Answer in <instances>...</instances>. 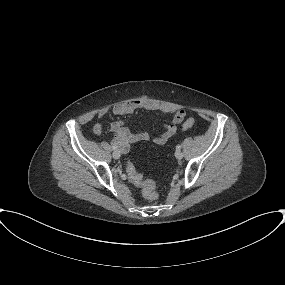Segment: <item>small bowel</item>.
Returning <instances> with one entry per match:
<instances>
[{"label": "small bowel", "instance_id": "obj_1", "mask_svg": "<svg viewBox=\"0 0 285 285\" xmlns=\"http://www.w3.org/2000/svg\"><path fill=\"white\" fill-rule=\"evenodd\" d=\"M158 110V107L146 100L133 99L127 102L119 103L115 105L111 112L115 116H122L131 114L137 110ZM181 113L182 117L177 119V115ZM106 111H101L98 116L103 118ZM185 118V112L183 110L177 111L171 123L164 124L163 132L153 138V142L156 145H164L176 132L177 125L180 124ZM104 127L101 123H97L93 127V133L99 135L103 132ZM111 132L114 133V138L112 139V144L117 146L123 153H127L130 149V144L148 141L150 136L147 132L131 133L126 127L124 121H116L110 126Z\"/></svg>", "mask_w": 285, "mask_h": 285}]
</instances>
